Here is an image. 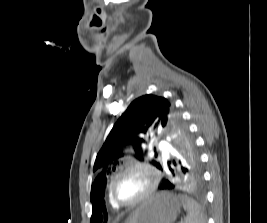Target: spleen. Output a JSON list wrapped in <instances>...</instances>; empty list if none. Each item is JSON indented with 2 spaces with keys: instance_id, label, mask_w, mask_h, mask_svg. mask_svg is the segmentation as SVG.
Listing matches in <instances>:
<instances>
[{
  "instance_id": "3e777b00",
  "label": "spleen",
  "mask_w": 267,
  "mask_h": 223,
  "mask_svg": "<svg viewBox=\"0 0 267 223\" xmlns=\"http://www.w3.org/2000/svg\"><path fill=\"white\" fill-rule=\"evenodd\" d=\"M181 203L188 215L184 220V223H206V216L201 206L192 198L186 195L179 196Z\"/></svg>"
}]
</instances>
